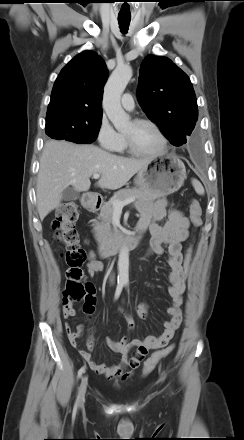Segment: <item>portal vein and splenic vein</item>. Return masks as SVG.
<instances>
[{"mask_svg": "<svg viewBox=\"0 0 244 440\" xmlns=\"http://www.w3.org/2000/svg\"><path fill=\"white\" fill-rule=\"evenodd\" d=\"M93 178H94V179H98V178H100V174H94V175H93ZM134 201H136V198H135V197H131V198H129V199H126L125 201H118V200H115V201H113V207H114V210H115V211H122V209H123L124 206H126V205H128V204H130V203H133Z\"/></svg>", "mask_w": 244, "mask_h": 440, "instance_id": "1", "label": "portal vein and splenic vein"}]
</instances>
